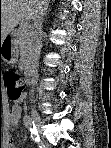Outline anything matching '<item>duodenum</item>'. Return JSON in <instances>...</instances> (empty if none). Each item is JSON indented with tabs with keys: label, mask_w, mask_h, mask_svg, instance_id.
Masks as SVG:
<instances>
[{
	"label": "duodenum",
	"mask_w": 111,
	"mask_h": 148,
	"mask_svg": "<svg viewBox=\"0 0 111 148\" xmlns=\"http://www.w3.org/2000/svg\"><path fill=\"white\" fill-rule=\"evenodd\" d=\"M27 84H34L36 82V74L34 73H30L27 75V79H26Z\"/></svg>",
	"instance_id": "obj_1"
}]
</instances>
